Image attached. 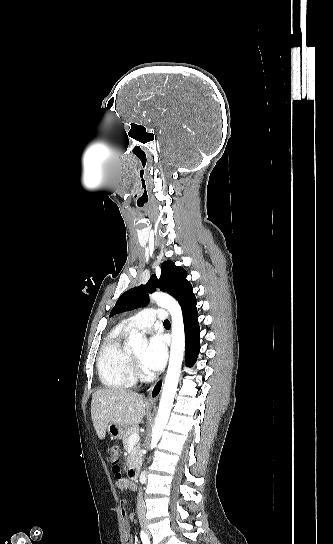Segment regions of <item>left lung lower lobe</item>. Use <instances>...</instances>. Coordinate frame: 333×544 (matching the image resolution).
I'll list each match as a JSON object with an SVG mask.
<instances>
[{
	"label": "left lung lower lobe",
	"instance_id": "0a47b994",
	"mask_svg": "<svg viewBox=\"0 0 333 544\" xmlns=\"http://www.w3.org/2000/svg\"><path fill=\"white\" fill-rule=\"evenodd\" d=\"M196 301L181 307L185 326V361L188 367L194 365L200 351V327Z\"/></svg>",
	"mask_w": 333,
	"mask_h": 544
}]
</instances>
